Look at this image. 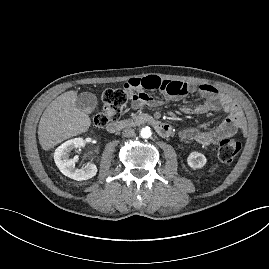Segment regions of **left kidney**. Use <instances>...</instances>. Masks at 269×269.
Here are the masks:
<instances>
[{"mask_svg": "<svg viewBox=\"0 0 269 269\" xmlns=\"http://www.w3.org/2000/svg\"><path fill=\"white\" fill-rule=\"evenodd\" d=\"M206 162H207L206 157L202 153L197 151L191 152L187 157V164L192 169L203 168Z\"/></svg>", "mask_w": 269, "mask_h": 269, "instance_id": "left-kidney-1", "label": "left kidney"}]
</instances>
